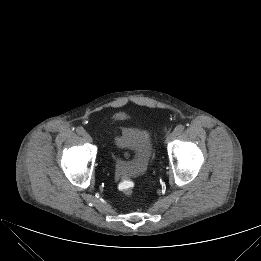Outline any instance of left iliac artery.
Returning a JSON list of instances; mask_svg holds the SVG:
<instances>
[{"label": "left iliac artery", "mask_w": 261, "mask_h": 261, "mask_svg": "<svg viewBox=\"0 0 261 261\" xmlns=\"http://www.w3.org/2000/svg\"><path fill=\"white\" fill-rule=\"evenodd\" d=\"M184 129H185V126L180 124V125L176 126L174 131L179 135L184 131Z\"/></svg>", "instance_id": "obj_1"}]
</instances>
